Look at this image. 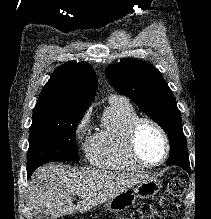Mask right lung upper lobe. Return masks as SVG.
<instances>
[{
  "label": "right lung upper lobe",
  "instance_id": "obj_1",
  "mask_svg": "<svg viewBox=\"0 0 211 219\" xmlns=\"http://www.w3.org/2000/svg\"><path fill=\"white\" fill-rule=\"evenodd\" d=\"M97 76L88 63L68 62L60 66L44 86L36 106L53 113H84L95 96Z\"/></svg>",
  "mask_w": 211,
  "mask_h": 219
}]
</instances>
